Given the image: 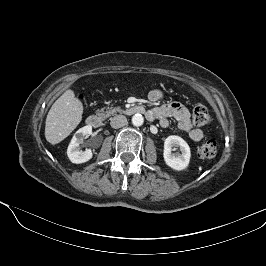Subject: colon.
Here are the masks:
<instances>
[{
	"mask_svg": "<svg viewBox=\"0 0 266 266\" xmlns=\"http://www.w3.org/2000/svg\"><path fill=\"white\" fill-rule=\"evenodd\" d=\"M211 121L210 114L207 108L203 105H197L193 110V123L197 126L208 125ZM198 154L200 158L210 160L217 154V143L215 140H207L199 149Z\"/></svg>",
	"mask_w": 266,
	"mask_h": 266,
	"instance_id": "obj_1",
	"label": "colon"
}]
</instances>
